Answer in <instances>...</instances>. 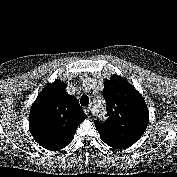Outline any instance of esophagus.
Listing matches in <instances>:
<instances>
[{
    "label": "esophagus",
    "instance_id": "34e87169",
    "mask_svg": "<svg viewBox=\"0 0 177 177\" xmlns=\"http://www.w3.org/2000/svg\"><path fill=\"white\" fill-rule=\"evenodd\" d=\"M84 111H85V113L86 114H92V109H91V107H84Z\"/></svg>",
    "mask_w": 177,
    "mask_h": 177
}]
</instances>
